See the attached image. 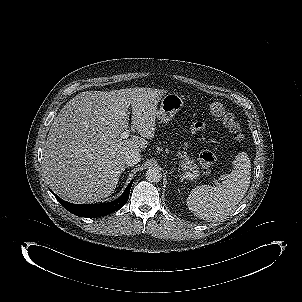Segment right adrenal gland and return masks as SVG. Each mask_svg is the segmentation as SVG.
<instances>
[{
	"mask_svg": "<svg viewBox=\"0 0 302 302\" xmlns=\"http://www.w3.org/2000/svg\"><path fill=\"white\" fill-rule=\"evenodd\" d=\"M125 168H126V167H124V169H123L122 173L125 171Z\"/></svg>",
	"mask_w": 302,
	"mask_h": 302,
	"instance_id": "right-adrenal-gland-1",
	"label": "right adrenal gland"
}]
</instances>
